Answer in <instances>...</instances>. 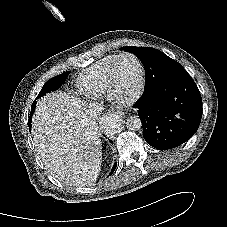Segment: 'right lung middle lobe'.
Returning a JSON list of instances; mask_svg holds the SVG:
<instances>
[{"mask_svg":"<svg viewBox=\"0 0 227 227\" xmlns=\"http://www.w3.org/2000/svg\"><path fill=\"white\" fill-rule=\"evenodd\" d=\"M69 73H70V71H67V72H64V73H62L58 76H55V77L49 79L43 85L41 91L39 92V94L37 96V99L44 96L46 93H48L50 91H55V90L59 89L62 86V84L65 82ZM35 106H36V101H34L33 104H32V107H31L32 110H31L29 119L31 118V116L34 112ZM31 122H32V120H28L29 129H31Z\"/></svg>","mask_w":227,"mask_h":227,"instance_id":"dd1d6c3e","label":"right lung middle lobe"}]
</instances>
